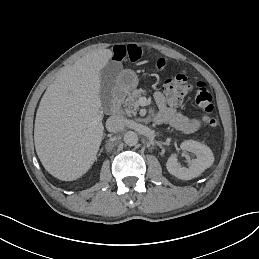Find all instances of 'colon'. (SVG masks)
Masks as SVG:
<instances>
[{"label":"colon","instance_id":"obj_1","mask_svg":"<svg viewBox=\"0 0 259 259\" xmlns=\"http://www.w3.org/2000/svg\"><path fill=\"white\" fill-rule=\"evenodd\" d=\"M164 64V60L161 59L158 61L157 65L161 68ZM163 88L170 103L174 105L180 104L188 93H192L196 104L205 113L202 116V122L209 126H215L217 124L216 118L212 115L214 110L213 97L204 82L199 81L196 84L191 85L185 75L179 74L166 80Z\"/></svg>","mask_w":259,"mask_h":259}]
</instances>
